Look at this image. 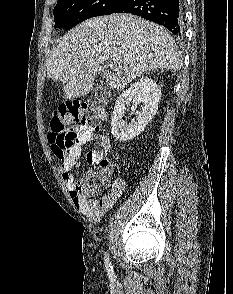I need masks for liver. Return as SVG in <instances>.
<instances>
[{
  "instance_id": "obj_1",
  "label": "liver",
  "mask_w": 233,
  "mask_h": 294,
  "mask_svg": "<svg viewBox=\"0 0 233 294\" xmlns=\"http://www.w3.org/2000/svg\"><path fill=\"white\" fill-rule=\"evenodd\" d=\"M107 63L115 69L107 70ZM181 66V54L163 27L126 14L82 22L59 41L46 61L47 75L62 83L65 99L90 93L99 72L110 88L123 89L147 71H178Z\"/></svg>"
}]
</instances>
